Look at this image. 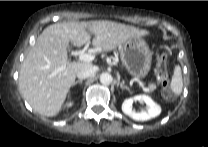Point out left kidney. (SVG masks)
I'll use <instances>...</instances> for the list:
<instances>
[{
    "instance_id": "left-kidney-1",
    "label": "left kidney",
    "mask_w": 208,
    "mask_h": 147,
    "mask_svg": "<svg viewBox=\"0 0 208 147\" xmlns=\"http://www.w3.org/2000/svg\"><path fill=\"white\" fill-rule=\"evenodd\" d=\"M138 101L146 104V110L136 112L133 110V102ZM122 111L136 121H146L158 116L161 112L160 106L148 95L142 94L124 100Z\"/></svg>"
}]
</instances>
